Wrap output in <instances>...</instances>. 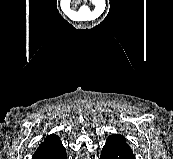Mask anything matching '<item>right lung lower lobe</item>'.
Returning a JSON list of instances; mask_svg holds the SVG:
<instances>
[{"label": "right lung lower lobe", "instance_id": "right-lung-lower-lobe-1", "mask_svg": "<svg viewBox=\"0 0 173 159\" xmlns=\"http://www.w3.org/2000/svg\"><path fill=\"white\" fill-rule=\"evenodd\" d=\"M45 159H67L66 150L63 149L58 153L45 157Z\"/></svg>", "mask_w": 173, "mask_h": 159}]
</instances>
